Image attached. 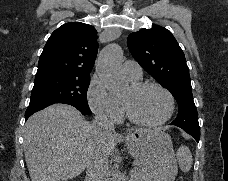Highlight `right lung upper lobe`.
Listing matches in <instances>:
<instances>
[{
    "instance_id": "cb5924a9",
    "label": "right lung upper lobe",
    "mask_w": 228,
    "mask_h": 181,
    "mask_svg": "<svg viewBox=\"0 0 228 181\" xmlns=\"http://www.w3.org/2000/svg\"><path fill=\"white\" fill-rule=\"evenodd\" d=\"M96 29L81 22H69L49 37L38 63L36 77L59 74L90 78L98 44Z\"/></svg>"
}]
</instances>
